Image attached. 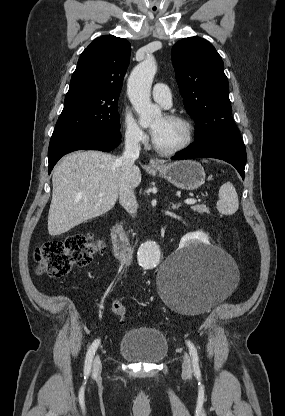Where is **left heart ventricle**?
<instances>
[{"mask_svg": "<svg viewBox=\"0 0 285 416\" xmlns=\"http://www.w3.org/2000/svg\"><path fill=\"white\" fill-rule=\"evenodd\" d=\"M161 127L159 139L155 142L163 149H170L178 146L184 140V129L181 125L160 116L151 122V126Z\"/></svg>", "mask_w": 285, "mask_h": 416, "instance_id": "1", "label": "left heart ventricle"}]
</instances>
